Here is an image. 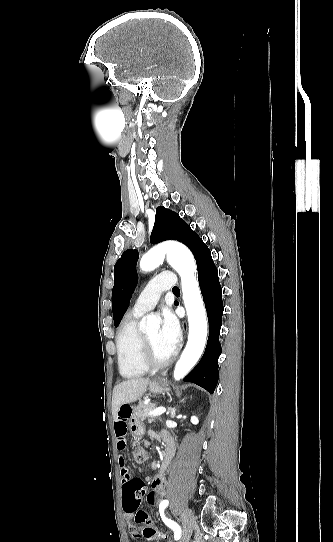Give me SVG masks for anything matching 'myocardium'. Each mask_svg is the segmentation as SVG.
Masks as SVG:
<instances>
[{
    "mask_svg": "<svg viewBox=\"0 0 333 542\" xmlns=\"http://www.w3.org/2000/svg\"><path fill=\"white\" fill-rule=\"evenodd\" d=\"M177 351L165 360H158L154 357L151 345L145 335L141 336L139 344V359L141 364L148 370H158L170 365L176 358Z\"/></svg>",
    "mask_w": 333,
    "mask_h": 542,
    "instance_id": "obj_1",
    "label": "myocardium"
}]
</instances>
